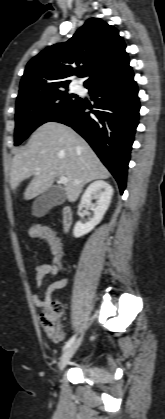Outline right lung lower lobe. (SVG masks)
Wrapping results in <instances>:
<instances>
[{
    "instance_id": "1",
    "label": "right lung lower lobe",
    "mask_w": 165,
    "mask_h": 419,
    "mask_svg": "<svg viewBox=\"0 0 165 419\" xmlns=\"http://www.w3.org/2000/svg\"><path fill=\"white\" fill-rule=\"evenodd\" d=\"M129 62L109 76L89 85L94 108L84 100L50 121L72 127L90 144L119 184L121 193L126 176L134 134L138 125V88Z\"/></svg>"
}]
</instances>
